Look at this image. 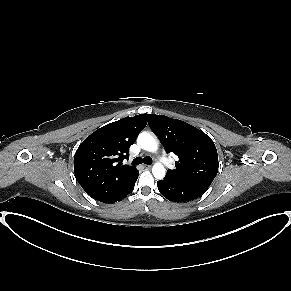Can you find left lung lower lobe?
<instances>
[{"label":"left lung lower lobe","mask_w":291,"mask_h":291,"mask_svg":"<svg viewBox=\"0 0 291 291\" xmlns=\"http://www.w3.org/2000/svg\"><path fill=\"white\" fill-rule=\"evenodd\" d=\"M160 193L170 201L188 202L202 196L208 187L186 183L166 175L157 182Z\"/></svg>","instance_id":"obj_1"}]
</instances>
